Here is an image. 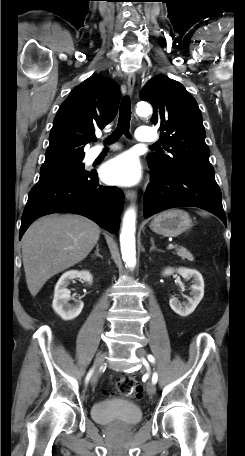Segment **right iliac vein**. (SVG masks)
Listing matches in <instances>:
<instances>
[{"instance_id": "1", "label": "right iliac vein", "mask_w": 245, "mask_h": 456, "mask_svg": "<svg viewBox=\"0 0 245 456\" xmlns=\"http://www.w3.org/2000/svg\"><path fill=\"white\" fill-rule=\"evenodd\" d=\"M104 357H105V354L100 353L95 359V363H94L95 369H94V372H93V375L91 378L92 385H96V383H97L98 375H99V368L101 367V365L104 362Z\"/></svg>"}]
</instances>
